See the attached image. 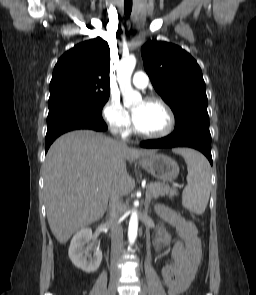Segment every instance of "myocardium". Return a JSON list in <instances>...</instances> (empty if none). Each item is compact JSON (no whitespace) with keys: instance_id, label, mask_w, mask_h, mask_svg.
<instances>
[{"instance_id":"obj_1","label":"myocardium","mask_w":256,"mask_h":295,"mask_svg":"<svg viewBox=\"0 0 256 295\" xmlns=\"http://www.w3.org/2000/svg\"><path fill=\"white\" fill-rule=\"evenodd\" d=\"M145 102L157 104L163 108V110L165 111V113L167 115V125L160 132L146 133V132H142L141 130H139L134 122V124H133L134 132L138 136L143 137V138H148V139H159V138H164V137L168 136L173 131L174 126H175V117H174L173 111L170 108V106L161 98L153 97V96L146 98Z\"/></svg>"}]
</instances>
